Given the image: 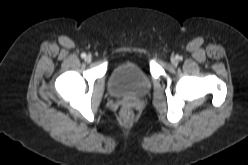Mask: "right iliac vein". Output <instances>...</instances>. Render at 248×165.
I'll use <instances>...</instances> for the list:
<instances>
[{
	"label": "right iliac vein",
	"instance_id": "right-iliac-vein-1",
	"mask_svg": "<svg viewBox=\"0 0 248 165\" xmlns=\"http://www.w3.org/2000/svg\"><path fill=\"white\" fill-rule=\"evenodd\" d=\"M85 60H86L87 62H90V61L92 60V57H91L90 55H88V56H86Z\"/></svg>",
	"mask_w": 248,
	"mask_h": 165
}]
</instances>
